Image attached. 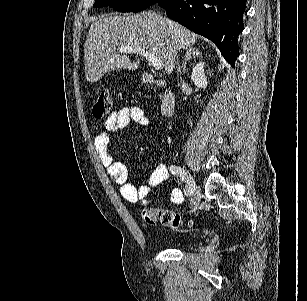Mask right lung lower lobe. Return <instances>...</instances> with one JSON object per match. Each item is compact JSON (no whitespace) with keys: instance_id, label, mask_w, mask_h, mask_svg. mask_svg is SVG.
Masks as SVG:
<instances>
[{"instance_id":"1","label":"right lung lower lobe","mask_w":307,"mask_h":301,"mask_svg":"<svg viewBox=\"0 0 307 301\" xmlns=\"http://www.w3.org/2000/svg\"><path fill=\"white\" fill-rule=\"evenodd\" d=\"M245 0H158L167 16L212 40L234 63L239 56L238 35L243 31Z\"/></svg>"}]
</instances>
